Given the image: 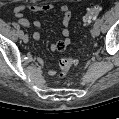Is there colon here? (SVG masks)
<instances>
[{
  "label": "colon",
  "mask_w": 119,
  "mask_h": 119,
  "mask_svg": "<svg viewBox=\"0 0 119 119\" xmlns=\"http://www.w3.org/2000/svg\"><path fill=\"white\" fill-rule=\"evenodd\" d=\"M100 12H101V8L99 6L91 5L84 16V21L86 23H91L99 16ZM74 63L75 60L71 57L62 58L59 61L60 77H65L68 71L70 70V68L74 65Z\"/></svg>",
  "instance_id": "obj_1"
}]
</instances>
